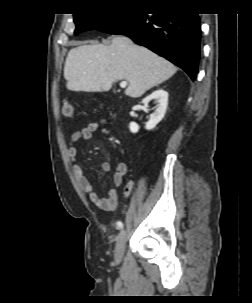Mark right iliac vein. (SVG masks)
Segmentation results:
<instances>
[{"label": "right iliac vein", "instance_id": "obj_1", "mask_svg": "<svg viewBox=\"0 0 252 303\" xmlns=\"http://www.w3.org/2000/svg\"><path fill=\"white\" fill-rule=\"evenodd\" d=\"M125 242H126V231L122 230L120 232V234L118 235V238H117V241L115 244V252H114L115 261L118 263H120L122 260Z\"/></svg>", "mask_w": 252, "mask_h": 303}]
</instances>
